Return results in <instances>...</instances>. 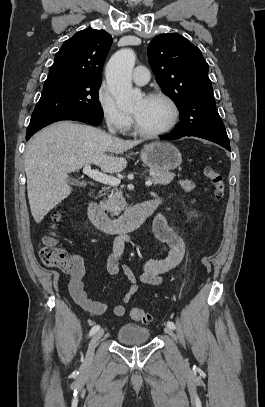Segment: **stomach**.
Returning <instances> with one entry per match:
<instances>
[{"instance_id":"0dacf381","label":"stomach","mask_w":265,"mask_h":407,"mask_svg":"<svg viewBox=\"0 0 265 407\" xmlns=\"http://www.w3.org/2000/svg\"><path fill=\"white\" fill-rule=\"evenodd\" d=\"M140 158L151 170L170 171L180 166V151L171 143L155 141L145 145Z\"/></svg>"}]
</instances>
